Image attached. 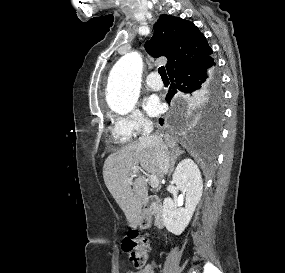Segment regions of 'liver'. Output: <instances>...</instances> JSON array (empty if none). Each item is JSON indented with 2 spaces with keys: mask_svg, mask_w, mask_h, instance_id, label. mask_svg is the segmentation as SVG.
Masks as SVG:
<instances>
[{
  "mask_svg": "<svg viewBox=\"0 0 285 273\" xmlns=\"http://www.w3.org/2000/svg\"><path fill=\"white\" fill-rule=\"evenodd\" d=\"M163 143L167 149L178 148L177 139L172 136H165ZM139 166L159 178L164 175L157 161L156 148L140 140L109 155L103 166L105 185L124 212L131 227L137 226L143 203L148 195L147 181L144 176H135L134 182H128L132 170L139 169Z\"/></svg>",
  "mask_w": 285,
  "mask_h": 273,
  "instance_id": "obj_1",
  "label": "liver"
}]
</instances>
